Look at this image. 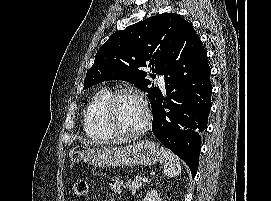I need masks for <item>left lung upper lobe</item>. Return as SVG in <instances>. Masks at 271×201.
<instances>
[{
	"label": "left lung upper lobe",
	"instance_id": "1",
	"mask_svg": "<svg viewBox=\"0 0 271 201\" xmlns=\"http://www.w3.org/2000/svg\"><path fill=\"white\" fill-rule=\"evenodd\" d=\"M196 34L192 25L175 13H163L117 31L98 50L86 74L84 89L106 80H124L149 94L153 113L161 98L147 75L166 77L172 48L180 37ZM151 67L152 74L142 67Z\"/></svg>",
	"mask_w": 271,
	"mask_h": 201
}]
</instances>
